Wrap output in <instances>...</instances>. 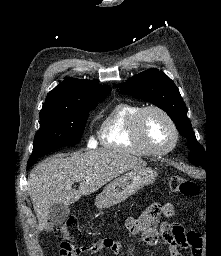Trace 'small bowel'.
Masks as SVG:
<instances>
[{"instance_id": "obj_1", "label": "small bowel", "mask_w": 221, "mask_h": 256, "mask_svg": "<svg viewBox=\"0 0 221 256\" xmlns=\"http://www.w3.org/2000/svg\"><path fill=\"white\" fill-rule=\"evenodd\" d=\"M173 211V206L169 203L152 205L140 216L128 217L125 221L126 230L130 234L141 235L144 243L149 247L155 246L161 237L168 245L169 256H182L180 249L187 246L183 227L176 223L160 222V218L172 216ZM103 250H108L117 256L120 254L121 244L111 238H102L87 246L79 247V254L86 252L90 255H98Z\"/></svg>"}]
</instances>
